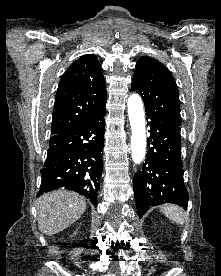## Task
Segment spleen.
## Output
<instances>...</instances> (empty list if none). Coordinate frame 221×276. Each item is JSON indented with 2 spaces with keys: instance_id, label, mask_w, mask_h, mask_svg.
I'll use <instances>...</instances> for the list:
<instances>
[{
  "instance_id": "1",
  "label": "spleen",
  "mask_w": 221,
  "mask_h": 276,
  "mask_svg": "<svg viewBox=\"0 0 221 276\" xmlns=\"http://www.w3.org/2000/svg\"><path fill=\"white\" fill-rule=\"evenodd\" d=\"M162 213L171 221L176 222L179 225L184 224V217L182 210L176 205H165L161 208Z\"/></svg>"
}]
</instances>
